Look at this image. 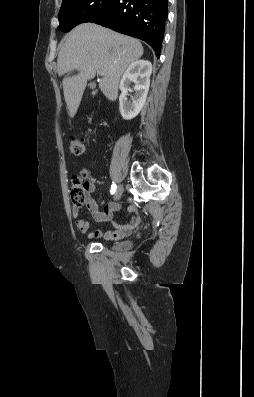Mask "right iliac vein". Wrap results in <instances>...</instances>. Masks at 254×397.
Segmentation results:
<instances>
[{
	"label": "right iliac vein",
	"instance_id": "obj_1",
	"mask_svg": "<svg viewBox=\"0 0 254 397\" xmlns=\"http://www.w3.org/2000/svg\"><path fill=\"white\" fill-rule=\"evenodd\" d=\"M123 193V186L119 185L114 194V200H119Z\"/></svg>",
	"mask_w": 254,
	"mask_h": 397
}]
</instances>
